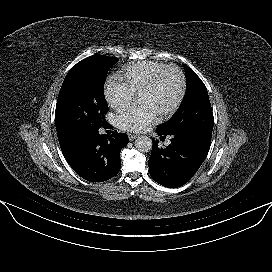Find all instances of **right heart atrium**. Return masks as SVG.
I'll return each instance as SVG.
<instances>
[{
	"label": "right heart atrium",
	"instance_id": "d8ad5b80",
	"mask_svg": "<svg viewBox=\"0 0 272 272\" xmlns=\"http://www.w3.org/2000/svg\"><path fill=\"white\" fill-rule=\"evenodd\" d=\"M104 96L110 107L121 110L134 99V92L116 77L109 78L105 83Z\"/></svg>",
	"mask_w": 272,
	"mask_h": 272
}]
</instances>
